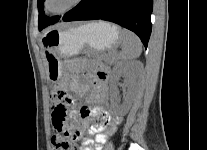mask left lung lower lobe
I'll list each match as a JSON object with an SVG mask.
<instances>
[{
	"label": "left lung lower lobe",
	"instance_id": "left-lung-lower-lobe-1",
	"mask_svg": "<svg viewBox=\"0 0 207 150\" xmlns=\"http://www.w3.org/2000/svg\"><path fill=\"white\" fill-rule=\"evenodd\" d=\"M153 0H82L62 21L106 20L135 32L145 47L151 34Z\"/></svg>",
	"mask_w": 207,
	"mask_h": 150
}]
</instances>
